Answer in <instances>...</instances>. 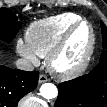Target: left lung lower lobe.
<instances>
[{
    "instance_id": "left-lung-lower-lobe-1",
    "label": "left lung lower lobe",
    "mask_w": 107,
    "mask_h": 107,
    "mask_svg": "<svg viewBox=\"0 0 107 107\" xmlns=\"http://www.w3.org/2000/svg\"><path fill=\"white\" fill-rule=\"evenodd\" d=\"M106 55L88 75L60 83L54 107H107Z\"/></svg>"
}]
</instances>
